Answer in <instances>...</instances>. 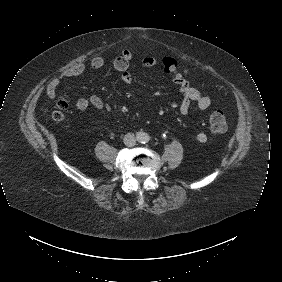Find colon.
Masks as SVG:
<instances>
[{"instance_id": "5ec220e1", "label": "colon", "mask_w": 282, "mask_h": 282, "mask_svg": "<svg viewBox=\"0 0 282 282\" xmlns=\"http://www.w3.org/2000/svg\"><path fill=\"white\" fill-rule=\"evenodd\" d=\"M164 70L167 73H177L178 79L184 76V72L178 69L176 61L172 58H166L163 62ZM68 106L64 105L63 107L52 112V119L54 121H61L63 119V110ZM209 127L213 133H222L227 129L226 119L220 111H214L209 118Z\"/></svg>"}]
</instances>
